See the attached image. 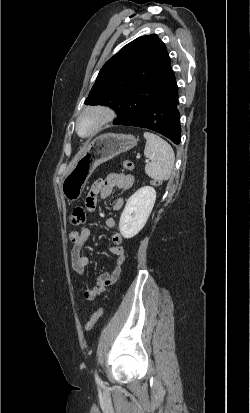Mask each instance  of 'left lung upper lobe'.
I'll return each instance as SVG.
<instances>
[{
	"instance_id": "5c2ea615",
	"label": "left lung upper lobe",
	"mask_w": 250,
	"mask_h": 413,
	"mask_svg": "<svg viewBox=\"0 0 250 413\" xmlns=\"http://www.w3.org/2000/svg\"><path fill=\"white\" fill-rule=\"evenodd\" d=\"M169 66L167 49L157 35L139 37L104 64L85 104H105L117 113L141 84L163 77Z\"/></svg>"
}]
</instances>
